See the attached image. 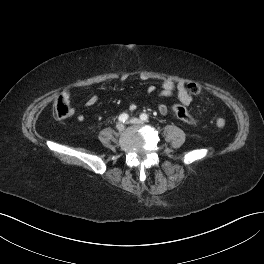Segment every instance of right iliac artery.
Wrapping results in <instances>:
<instances>
[{"instance_id":"obj_1","label":"right iliac artery","mask_w":264,"mask_h":264,"mask_svg":"<svg viewBox=\"0 0 264 264\" xmlns=\"http://www.w3.org/2000/svg\"><path fill=\"white\" fill-rule=\"evenodd\" d=\"M128 117H129L128 114L123 113V114H121V115L119 116L118 119H119L120 122H123V123H124V122L128 119Z\"/></svg>"}]
</instances>
